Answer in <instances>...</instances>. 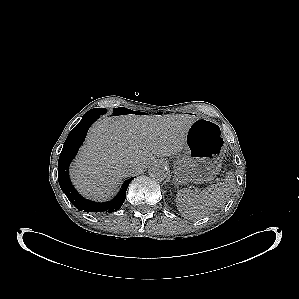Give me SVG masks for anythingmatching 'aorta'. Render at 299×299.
Listing matches in <instances>:
<instances>
[{"label":"aorta","mask_w":299,"mask_h":299,"mask_svg":"<svg viewBox=\"0 0 299 299\" xmlns=\"http://www.w3.org/2000/svg\"><path fill=\"white\" fill-rule=\"evenodd\" d=\"M149 175L156 180H164L168 176V169L163 163H155L149 168Z\"/></svg>","instance_id":"aorta-1"}]
</instances>
